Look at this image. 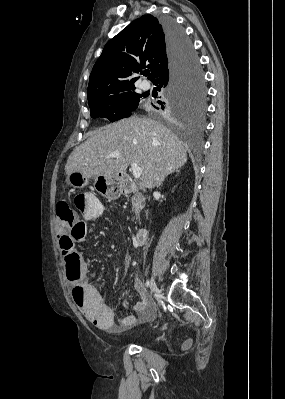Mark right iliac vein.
<instances>
[{
  "instance_id": "63e3f726",
  "label": "right iliac vein",
  "mask_w": 285,
  "mask_h": 399,
  "mask_svg": "<svg viewBox=\"0 0 285 399\" xmlns=\"http://www.w3.org/2000/svg\"><path fill=\"white\" fill-rule=\"evenodd\" d=\"M156 290H157V285H156L154 277L152 276L151 277V283H150V292H151V294L154 293Z\"/></svg>"
}]
</instances>
